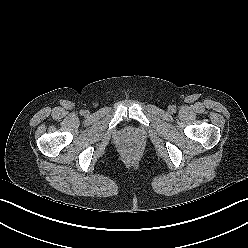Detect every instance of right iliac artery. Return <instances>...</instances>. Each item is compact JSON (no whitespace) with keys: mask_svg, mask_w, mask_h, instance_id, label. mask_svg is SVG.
I'll use <instances>...</instances> for the list:
<instances>
[{"mask_svg":"<svg viewBox=\"0 0 248 248\" xmlns=\"http://www.w3.org/2000/svg\"><path fill=\"white\" fill-rule=\"evenodd\" d=\"M81 114H85V111L84 110H81V112H80Z\"/></svg>","mask_w":248,"mask_h":248,"instance_id":"obj_1","label":"right iliac artery"}]
</instances>
